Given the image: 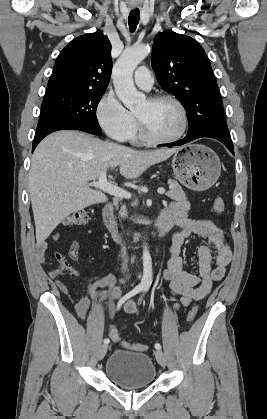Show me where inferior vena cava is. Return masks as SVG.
Masks as SVG:
<instances>
[{
	"label": "inferior vena cava",
	"mask_w": 267,
	"mask_h": 419,
	"mask_svg": "<svg viewBox=\"0 0 267 419\" xmlns=\"http://www.w3.org/2000/svg\"><path fill=\"white\" fill-rule=\"evenodd\" d=\"M121 253H122V259L125 260L123 262V264H122V270H126L127 269V265H125V264H126L127 260L125 258L126 257V247L125 246H122Z\"/></svg>",
	"instance_id": "inferior-vena-cava-1"
}]
</instances>
